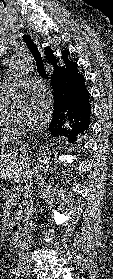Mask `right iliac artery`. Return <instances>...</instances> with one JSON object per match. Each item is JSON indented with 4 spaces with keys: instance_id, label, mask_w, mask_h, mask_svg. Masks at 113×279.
I'll return each mask as SVG.
<instances>
[{
    "instance_id": "obj_1",
    "label": "right iliac artery",
    "mask_w": 113,
    "mask_h": 279,
    "mask_svg": "<svg viewBox=\"0 0 113 279\" xmlns=\"http://www.w3.org/2000/svg\"><path fill=\"white\" fill-rule=\"evenodd\" d=\"M20 276V271L19 270H13L11 272V277H14L15 279H17Z\"/></svg>"
}]
</instances>
